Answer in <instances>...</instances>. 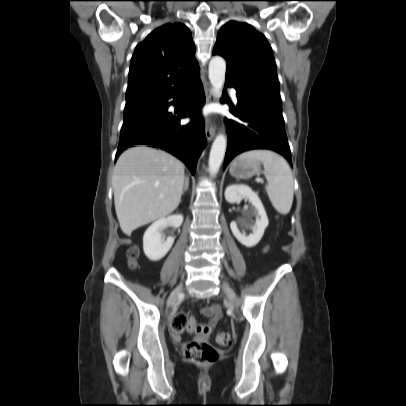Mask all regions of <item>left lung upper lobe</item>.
I'll list each match as a JSON object with an SVG mask.
<instances>
[{
    "mask_svg": "<svg viewBox=\"0 0 406 406\" xmlns=\"http://www.w3.org/2000/svg\"><path fill=\"white\" fill-rule=\"evenodd\" d=\"M213 54L227 61L226 81L249 95L281 103L272 48L265 36L247 23L230 21L218 32Z\"/></svg>",
    "mask_w": 406,
    "mask_h": 406,
    "instance_id": "left-lung-upper-lobe-1",
    "label": "left lung upper lobe"
}]
</instances>
